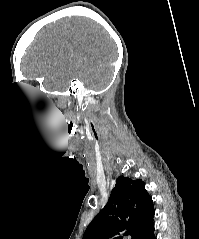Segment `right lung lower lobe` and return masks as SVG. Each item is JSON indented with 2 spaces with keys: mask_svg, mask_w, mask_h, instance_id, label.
Returning <instances> with one entry per match:
<instances>
[{
  "mask_svg": "<svg viewBox=\"0 0 199 239\" xmlns=\"http://www.w3.org/2000/svg\"><path fill=\"white\" fill-rule=\"evenodd\" d=\"M134 239H156L154 236L153 218L144 225Z\"/></svg>",
  "mask_w": 199,
  "mask_h": 239,
  "instance_id": "1",
  "label": "right lung lower lobe"
}]
</instances>
